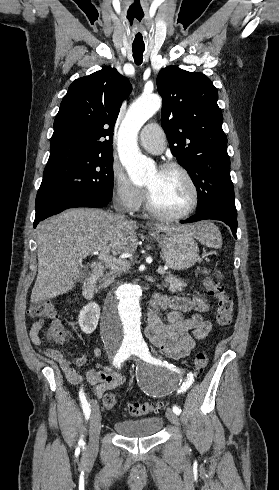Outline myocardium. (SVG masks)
<instances>
[{
    "instance_id": "myocardium-1",
    "label": "myocardium",
    "mask_w": 279,
    "mask_h": 490,
    "mask_svg": "<svg viewBox=\"0 0 279 490\" xmlns=\"http://www.w3.org/2000/svg\"><path fill=\"white\" fill-rule=\"evenodd\" d=\"M160 171H175L181 174L187 181L191 190V200L188 205L180 212L169 214L159 210L154 204L149 187L147 188V209L156 218L164 221H177L191 214L199 203V190L190 172L178 163L164 164Z\"/></svg>"
}]
</instances>
